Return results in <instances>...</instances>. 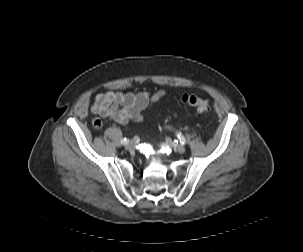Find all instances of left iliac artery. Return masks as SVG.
<instances>
[{
    "label": "left iliac artery",
    "mask_w": 303,
    "mask_h": 252,
    "mask_svg": "<svg viewBox=\"0 0 303 252\" xmlns=\"http://www.w3.org/2000/svg\"><path fill=\"white\" fill-rule=\"evenodd\" d=\"M177 137H178V139L180 140V143H181L182 145H185V144H186V139L184 138V136L181 135V133H179V134L177 135Z\"/></svg>",
    "instance_id": "44dca946"
}]
</instances>
